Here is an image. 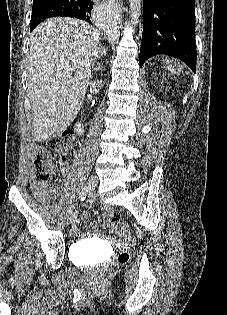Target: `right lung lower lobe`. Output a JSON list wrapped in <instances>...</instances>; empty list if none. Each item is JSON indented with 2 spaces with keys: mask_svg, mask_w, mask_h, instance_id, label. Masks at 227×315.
Listing matches in <instances>:
<instances>
[{
  "mask_svg": "<svg viewBox=\"0 0 227 315\" xmlns=\"http://www.w3.org/2000/svg\"><path fill=\"white\" fill-rule=\"evenodd\" d=\"M93 3L90 0H76L72 6L64 8L60 17H74L91 23Z\"/></svg>",
  "mask_w": 227,
  "mask_h": 315,
  "instance_id": "obj_1",
  "label": "right lung lower lobe"
}]
</instances>
